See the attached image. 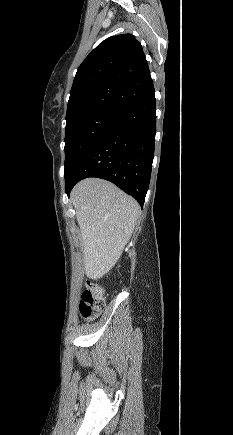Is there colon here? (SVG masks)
Segmentation results:
<instances>
[{
  "label": "colon",
  "mask_w": 233,
  "mask_h": 435,
  "mask_svg": "<svg viewBox=\"0 0 233 435\" xmlns=\"http://www.w3.org/2000/svg\"><path fill=\"white\" fill-rule=\"evenodd\" d=\"M105 306L102 288L96 283H88L79 303V313L86 320H94Z\"/></svg>",
  "instance_id": "1"
}]
</instances>
